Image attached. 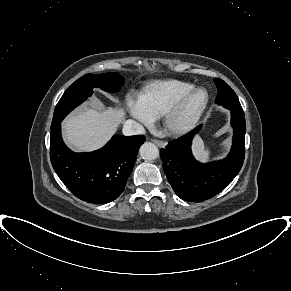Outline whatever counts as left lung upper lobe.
<instances>
[{
	"mask_svg": "<svg viewBox=\"0 0 291 291\" xmlns=\"http://www.w3.org/2000/svg\"><path fill=\"white\" fill-rule=\"evenodd\" d=\"M215 84L218 89L216 103L230 110H242L238 97L228 84L219 78H215Z\"/></svg>",
	"mask_w": 291,
	"mask_h": 291,
	"instance_id": "obj_1",
	"label": "left lung upper lobe"
}]
</instances>
